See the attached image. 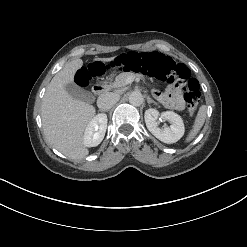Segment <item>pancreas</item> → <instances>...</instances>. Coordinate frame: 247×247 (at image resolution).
Returning a JSON list of instances; mask_svg holds the SVG:
<instances>
[{"label": "pancreas", "mask_w": 247, "mask_h": 247, "mask_svg": "<svg viewBox=\"0 0 247 247\" xmlns=\"http://www.w3.org/2000/svg\"><path fill=\"white\" fill-rule=\"evenodd\" d=\"M130 77L136 78L139 76L131 72L121 73L115 78V81L112 83V85H110V88L114 89L116 92L122 91L125 88V86L128 84L127 79Z\"/></svg>", "instance_id": "obj_1"}]
</instances>
